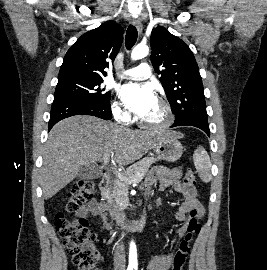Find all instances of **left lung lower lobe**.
Segmentation results:
<instances>
[{
	"mask_svg": "<svg viewBox=\"0 0 267 270\" xmlns=\"http://www.w3.org/2000/svg\"><path fill=\"white\" fill-rule=\"evenodd\" d=\"M175 126H194L201 130H203L208 136H210V129L208 125V120H202V119H188L184 120L182 122H177L172 125V127Z\"/></svg>",
	"mask_w": 267,
	"mask_h": 270,
	"instance_id": "obj_1",
	"label": "left lung lower lobe"
}]
</instances>
